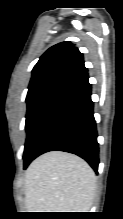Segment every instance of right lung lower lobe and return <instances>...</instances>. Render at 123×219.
Listing matches in <instances>:
<instances>
[{"instance_id": "obj_1", "label": "right lung lower lobe", "mask_w": 123, "mask_h": 219, "mask_svg": "<svg viewBox=\"0 0 123 219\" xmlns=\"http://www.w3.org/2000/svg\"><path fill=\"white\" fill-rule=\"evenodd\" d=\"M53 150L76 154L98 171L99 148L87 71L70 81L49 110L24 168L39 155Z\"/></svg>"}]
</instances>
